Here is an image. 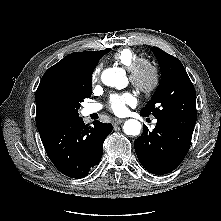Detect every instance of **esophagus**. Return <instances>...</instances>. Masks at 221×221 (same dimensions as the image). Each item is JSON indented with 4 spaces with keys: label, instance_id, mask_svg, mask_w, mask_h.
<instances>
[{
    "label": "esophagus",
    "instance_id": "1",
    "mask_svg": "<svg viewBox=\"0 0 221 221\" xmlns=\"http://www.w3.org/2000/svg\"><path fill=\"white\" fill-rule=\"evenodd\" d=\"M123 122H124L123 119H115V120L113 121V124H114V125H119V124H121V123H123Z\"/></svg>",
    "mask_w": 221,
    "mask_h": 221
}]
</instances>
